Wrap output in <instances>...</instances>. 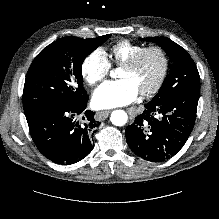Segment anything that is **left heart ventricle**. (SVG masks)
Returning a JSON list of instances; mask_svg holds the SVG:
<instances>
[{
  "label": "left heart ventricle",
  "mask_w": 219,
  "mask_h": 219,
  "mask_svg": "<svg viewBox=\"0 0 219 219\" xmlns=\"http://www.w3.org/2000/svg\"><path fill=\"white\" fill-rule=\"evenodd\" d=\"M162 61L158 53L145 54L133 69L121 68L120 80L130 81L140 92L151 87L157 80L161 71Z\"/></svg>",
  "instance_id": "1"
}]
</instances>
